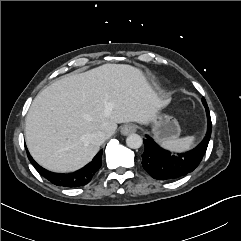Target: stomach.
I'll return each instance as SVG.
<instances>
[{
	"label": "stomach",
	"instance_id": "obj_1",
	"mask_svg": "<svg viewBox=\"0 0 241 241\" xmlns=\"http://www.w3.org/2000/svg\"><path fill=\"white\" fill-rule=\"evenodd\" d=\"M152 123V133L158 142L176 139L180 135L181 129L178 121L172 116L159 114Z\"/></svg>",
	"mask_w": 241,
	"mask_h": 241
}]
</instances>
